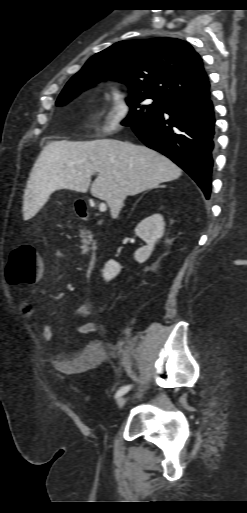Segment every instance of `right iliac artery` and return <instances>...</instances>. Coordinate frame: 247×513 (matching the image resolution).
<instances>
[{
    "mask_svg": "<svg viewBox=\"0 0 247 513\" xmlns=\"http://www.w3.org/2000/svg\"><path fill=\"white\" fill-rule=\"evenodd\" d=\"M131 389V385H126V386H123L121 387L115 394V398H119L120 396H122L123 394H125L126 392H128L129 390Z\"/></svg>",
    "mask_w": 247,
    "mask_h": 513,
    "instance_id": "82829eb1",
    "label": "right iliac artery"
}]
</instances>
